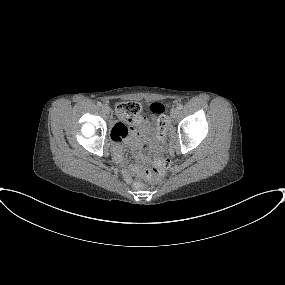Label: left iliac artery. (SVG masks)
Instances as JSON below:
<instances>
[{
    "mask_svg": "<svg viewBox=\"0 0 285 285\" xmlns=\"http://www.w3.org/2000/svg\"><path fill=\"white\" fill-rule=\"evenodd\" d=\"M178 108H179V110L183 109V105L180 104V105L178 106Z\"/></svg>",
    "mask_w": 285,
    "mask_h": 285,
    "instance_id": "obj_1",
    "label": "left iliac artery"
}]
</instances>
